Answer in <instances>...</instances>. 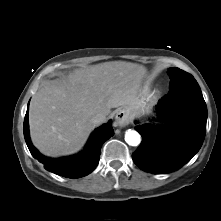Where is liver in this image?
I'll return each mask as SVG.
<instances>
[{
	"instance_id": "liver-1",
	"label": "liver",
	"mask_w": 221,
	"mask_h": 221,
	"mask_svg": "<svg viewBox=\"0 0 221 221\" xmlns=\"http://www.w3.org/2000/svg\"><path fill=\"white\" fill-rule=\"evenodd\" d=\"M145 73L146 69L138 64L114 61L44 85L30 103L32 142L47 156L76 152L94 128V115H110L112 108L130 111L139 106Z\"/></svg>"
}]
</instances>
